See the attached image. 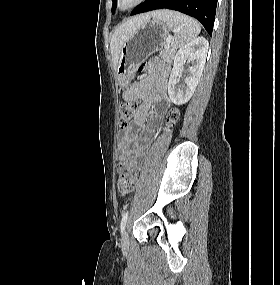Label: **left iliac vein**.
<instances>
[{
	"label": "left iliac vein",
	"mask_w": 280,
	"mask_h": 285,
	"mask_svg": "<svg viewBox=\"0 0 280 285\" xmlns=\"http://www.w3.org/2000/svg\"><path fill=\"white\" fill-rule=\"evenodd\" d=\"M121 241H122V244H123V245H126L127 242H128V233H127L126 230H124L123 233H122V239H121Z\"/></svg>",
	"instance_id": "1"
}]
</instances>
